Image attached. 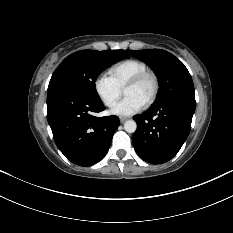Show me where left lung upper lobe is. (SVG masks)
<instances>
[{
    "instance_id": "1",
    "label": "left lung upper lobe",
    "mask_w": 233,
    "mask_h": 233,
    "mask_svg": "<svg viewBox=\"0 0 233 233\" xmlns=\"http://www.w3.org/2000/svg\"><path fill=\"white\" fill-rule=\"evenodd\" d=\"M128 53L146 62L157 74L160 91L155 105L177 98L195 102L191 75L185 65L174 55L161 49L128 50Z\"/></svg>"
}]
</instances>
